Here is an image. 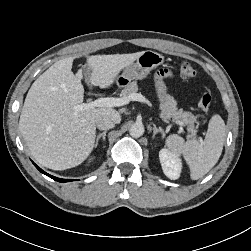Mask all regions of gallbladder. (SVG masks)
<instances>
[{"instance_id": "1", "label": "gallbladder", "mask_w": 251, "mask_h": 251, "mask_svg": "<svg viewBox=\"0 0 251 251\" xmlns=\"http://www.w3.org/2000/svg\"><path fill=\"white\" fill-rule=\"evenodd\" d=\"M81 72L84 74V76L86 78V81L89 82V78H90V75H91L90 68L87 65H85L83 67V69L81 70Z\"/></svg>"}]
</instances>
